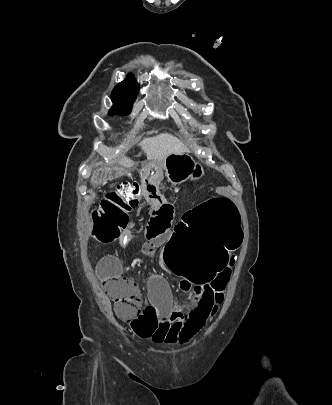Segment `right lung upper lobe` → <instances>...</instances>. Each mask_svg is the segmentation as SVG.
<instances>
[{
  "label": "right lung upper lobe",
  "instance_id": "right-lung-upper-lobe-1",
  "mask_svg": "<svg viewBox=\"0 0 332 405\" xmlns=\"http://www.w3.org/2000/svg\"><path fill=\"white\" fill-rule=\"evenodd\" d=\"M120 84H123L124 86H127L129 88L138 90V84H137L136 80L133 79L132 77L126 78Z\"/></svg>",
  "mask_w": 332,
  "mask_h": 405
}]
</instances>
